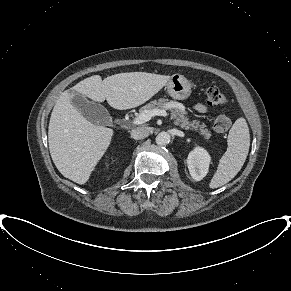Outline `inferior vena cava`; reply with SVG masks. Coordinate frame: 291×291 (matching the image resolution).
Segmentation results:
<instances>
[{"instance_id": "602c4592", "label": "inferior vena cava", "mask_w": 291, "mask_h": 291, "mask_svg": "<svg viewBox=\"0 0 291 291\" xmlns=\"http://www.w3.org/2000/svg\"><path fill=\"white\" fill-rule=\"evenodd\" d=\"M150 129L148 127H137L131 131V137L133 139L139 140L144 139L149 136Z\"/></svg>"}]
</instances>
